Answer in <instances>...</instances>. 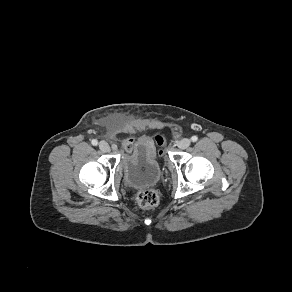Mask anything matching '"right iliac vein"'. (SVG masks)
Wrapping results in <instances>:
<instances>
[{"label": "right iliac vein", "instance_id": "63e3f726", "mask_svg": "<svg viewBox=\"0 0 292 292\" xmlns=\"http://www.w3.org/2000/svg\"><path fill=\"white\" fill-rule=\"evenodd\" d=\"M99 148L103 152H109L110 151V146L106 141H100L99 142Z\"/></svg>", "mask_w": 292, "mask_h": 292}]
</instances>
